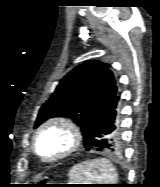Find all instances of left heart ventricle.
Masks as SVG:
<instances>
[{
  "label": "left heart ventricle",
  "mask_w": 160,
  "mask_h": 187,
  "mask_svg": "<svg viewBox=\"0 0 160 187\" xmlns=\"http://www.w3.org/2000/svg\"><path fill=\"white\" fill-rule=\"evenodd\" d=\"M69 143L67 134L59 129L47 130L41 137L38 149L46 157H52L64 150Z\"/></svg>",
  "instance_id": "left-heart-ventricle-1"
}]
</instances>
